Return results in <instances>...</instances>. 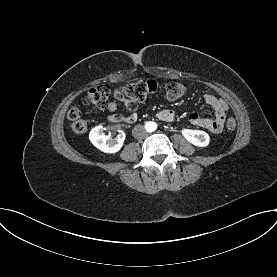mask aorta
<instances>
[{
    "instance_id": "762f6f07",
    "label": "aorta",
    "mask_w": 277,
    "mask_h": 277,
    "mask_svg": "<svg viewBox=\"0 0 277 277\" xmlns=\"http://www.w3.org/2000/svg\"><path fill=\"white\" fill-rule=\"evenodd\" d=\"M146 127L149 132H152L155 130L156 124L154 122H148L146 124Z\"/></svg>"
}]
</instances>
